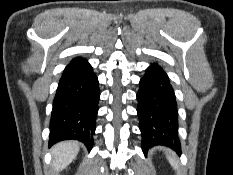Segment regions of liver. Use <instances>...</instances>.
<instances>
[{
    "mask_svg": "<svg viewBox=\"0 0 233 175\" xmlns=\"http://www.w3.org/2000/svg\"><path fill=\"white\" fill-rule=\"evenodd\" d=\"M53 166L57 172L65 169L77 156L79 144L75 141H64L56 144L51 149Z\"/></svg>",
    "mask_w": 233,
    "mask_h": 175,
    "instance_id": "6515ba94",
    "label": "liver"
}]
</instances>
